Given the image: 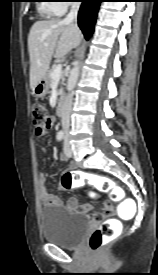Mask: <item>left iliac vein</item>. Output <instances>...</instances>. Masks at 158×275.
I'll return each instance as SVG.
<instances>
[{
	"mask_svg": "<svg viewBox=\"0 0 158 275\" xmlns=\"http://www.w3.org/2000/svg\"><path fill=\"white\" fill-rule=\"evenodd\" d=\"M72 154H73V152H72L71 145L68 140H65L64 141V155L67 158H70L72 156Z\"/></svg>",
	"mask_w": 158,
	"mask_h": 275,
	"instance_id": "left-iliac-vein-1",
	"label": "left iliac vein"
}]
</instances>
